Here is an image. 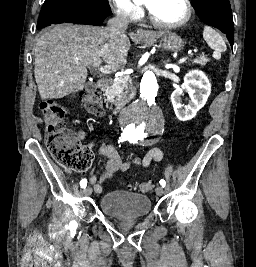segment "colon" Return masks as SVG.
<instances>
[{
  "instance_id": "obj_1",
  "label": "colon",
  "mask_w": 256,
  "mask_h": 267,
  "mask_svg": "<svg viewBox=\"0 0 256 267\" xmlns=\"http://www.w3.org/2000/svg\"><path fill=\"white\" fill-rule=\"evenodd\" d=\"M79 101L89 114L98 115L102 112V101L96 95L82 92ZM40 108L46 116V143L54 160L68 168L87 169L93 154L88 146L76 143L73 131L66 129L63 122L67 113L65 106L54 100H45ZM129 187L140 192H151L155 185L153 182H140Z\"/></svg>"
}]
</instances>
